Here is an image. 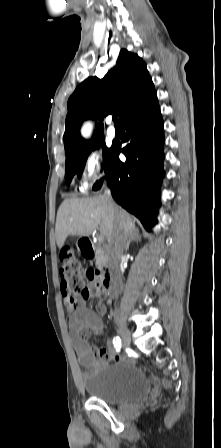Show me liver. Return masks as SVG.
I'll return each mask as SVG.
<instances>
[{
  "label": "liver",
  "mask_w": 221,
  "mask_h": 448,
  "mask_svg": "<svg viewBox=\"0 0 221 448\" xmlns=\"http://www.w3.org/2000/svg\"><path fill=\"white\" fill-rule=\"evenodd\" d=\"M117 207V206H116ZM117 215L106 196L66 199L60 205L55 226L56 243L62 248L68 236L88 237L98 227L109 245L114 243L115 227L121 224L126 236L138 231L135 219L118 208Z\"/></svg>",
  "instance_id": "obj_1"
}]
</instances>
